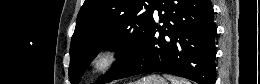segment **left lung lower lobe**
Here are the masks:
<instances>
[{
  "label": "left lung lower lobe",
  "mask_w": 260,
  "mask_h": 84,
  "mask_svg": "<svg viewBox=\"0 0 260 84\" xmlns=\"http://www.w3.org/2000/svg\"><path fill=\"white\" fill-rule=\"evenodd\" d=\"M155 9L163 25L152 19L137 56L112 80L163 72L215 84L216 27L210 0H155Z\"/></svg>",
  "instance_id": "obj_1"
}]
</instances>
